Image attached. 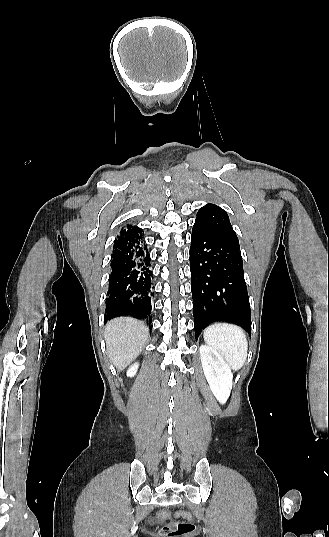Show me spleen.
<instances>
[{
    "instance_id": "3e777b00",
    "label": "spleen",
    "mask_w": 329,
    "mask_h": 537,
    "mask_svg": "<svg viewBox=\"0 0 329 537\" xmlns=\"http://www.w3.org/2000/svg\"><path fill=\"white\" fill-rule=\"evenodd\" d=\"M203 337L207 345L223 355L232 369L239 370L244 365L248 353V341L239 326L214 323L204 330Z\"/></svg>"
}]
</instances>
